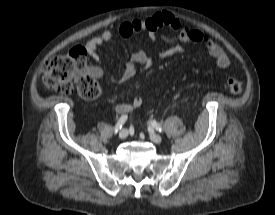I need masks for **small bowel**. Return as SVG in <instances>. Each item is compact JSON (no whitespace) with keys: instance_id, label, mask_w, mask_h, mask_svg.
I'll return each mask as SVG.
<instances>
[{"instance_id":"obj_1","label":"small bowel","mask_w":275,"mask_h":215,"mask_svg":"<svg viewBox=\"0 0 275 215\" xmlns=\"http://www.w3.org/2000/svg\"><path fill=\"white\" fill-rule=\"evenodd\" d=\"M162 29H168L176 33L183 42L202 46L214 58L218 67L227 68L230 65L228 55L214 40L199 30L182 25L173 14L168 12L157 13L146 19L135 18L130 21H124L118 27V34L123 38H129L134 34L147 33L150 39L156 42L157 35ZM112 40L113 33L110 30H105L100 35L89 40L86 44V49L94 60L99 61V47L110 43ZM160 55L165 56L166 52L161 51ZM152 63V58L146 52L137 51L131 55L130 61L117 76L116 80L127 81L137 73L138 65L147 69ZM90 72L97 78L104 76V71L99 66L92 67ZM142 102L140 97H135L131 102L118 104L115 110L120 115L127 114L133 109L139 108Z\"/></svg>"}]
</instances>
